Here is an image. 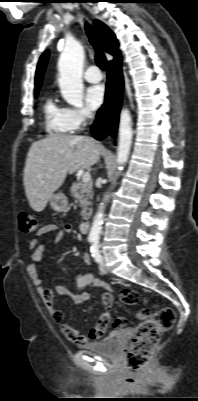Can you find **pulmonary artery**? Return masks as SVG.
I'll list each match as a JSON object with an SVG mask.
<instances>
[{
	"mask_svg": "<svg viewBox=\"0 0 198 401\" xmlns=\"http://www.w3.org/2000/svg\"><path fill=\"white\" fill-rule=\"evenodd\" d=\"M102 77V73L97 66H90L84 73V79L89 83L100 82Z\"/></svg>",
	"mask_w": 198,
	"mask_h": 401,
	"instance_id": "obj_1",
	"label": "pulmonary artery"
}]
</instances>
